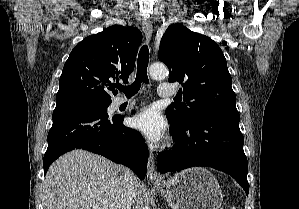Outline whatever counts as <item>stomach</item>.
<instances>
[{
  "mask_svg": "<svg viewBox=\"0 0 299 209\" xmlns=\"http://www.w3.org/2000/svg\"><path fill=\"white\" fill-rule=\"evenodd\" d=\"M155 186L172 209H219L223 201L218 181L205 168L183 170Z\"/></svg>",
  "mask_w": 299,
  "mask_h": 209,
  "instance_id": "1",
  "label": "stomach"
}]
</instances>
